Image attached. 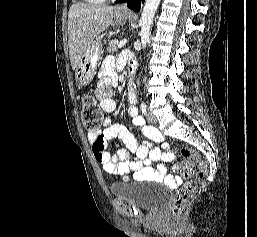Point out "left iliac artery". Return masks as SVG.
I'll use <instances>...</instances> for the list:
<instances>
[{
	"mask_svg": "<svg viewBox=\"0 0 257 237\" xmlns=\"http://www.w3.org/2000/svg\"><path fill=\"white\" fill-rule=\"evenodd\" d=\"M141 111H142V113L143 114H146V112H147V106L145 105V103H141Z\"/></svg>",
	"mask_w": 257,
	"mask_h": 237,
	"instance_id": "1",
	"label": "left iliac artery"
}]
</instances>
